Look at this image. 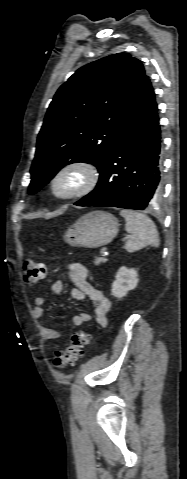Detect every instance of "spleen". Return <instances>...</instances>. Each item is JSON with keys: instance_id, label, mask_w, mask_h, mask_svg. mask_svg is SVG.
<instances>
[{"instance_id": "1", "label": "spleen", "mask_w": 187, "mask_h": 479, "mask_svg": "<svg viewBox=\"0 0 187 479\" xmlns=\"http://www.w3.org/2000/svg\"><path fill=\"white\" fill-rule=\"evenodd\" d=\"M120 215L125 218V229L131 234V237L125 243V249L130 252H136L148 245L159 247V237L154 222L145 214L123 209Z\"/></svg>"}]
</instances>
